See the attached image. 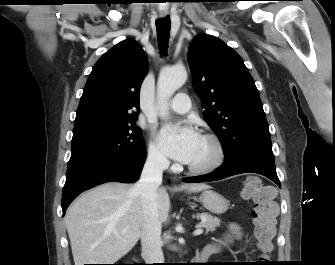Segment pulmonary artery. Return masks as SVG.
Instances as JSON below:
<instances>
[{"label": "pulmonary artery", "mask_w": 335, "mask_h": 265, "mask_svg": "<svg viewBox=\"0 0 335 265\" xmlns=\"http://www.w3.org/2000/svg\"><path fill=\"white\" fill-rule=\"evenodd\" d=\"M169 107H170V110L175 113L184 114L188 112L191 108L190 98L185 93H179L171 101Z\"/></svg>", "instance_id": "1"}]
</instances>
